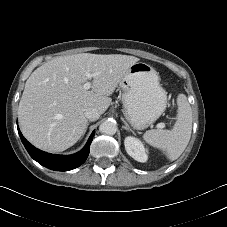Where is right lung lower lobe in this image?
<instances>
[{"instance_id":"1","label":"right lung lower lobe","mask_w":227,"mask_h":227,"mask_svg":"<svg viewBox=\"0 0 227 227\" xmlns=\"http://www.w3.org/2000/svg\"><path fill=\"white\" fill-rule=\"evenodd\" d=\"M18 133L29 155L42 166L55 171L72 170L79 167L81 164H83L89 155L90 144L95 134V132L91 134L87 144L81 151L73 155L64 156V155L50 154V153L41 151L35 148L33 145H31L23 137L19 128H18Z\"/></svg>"}]
</instances>
